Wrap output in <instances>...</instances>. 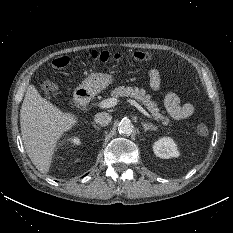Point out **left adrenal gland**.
Masks as SVG:
<instances>
[{
    "instance_id": "obj_1",
    "label": "left adrenal gland",
    "mask_w": 233,
    "mask_h": 233,
    "mask_svg": "<svg viewBox=\"0 0 233 233\" xmlns=\"http://www.w3.org/2000/svg\"><path fill=\"white\" fill-rule=\"evenodd\" d=\"M142 126L144 128V131H157V127H155L152 123H146L143 121Z\"/></svg>"
}]
</instances>
